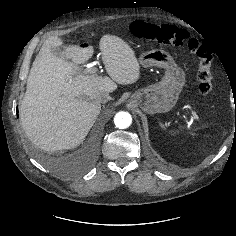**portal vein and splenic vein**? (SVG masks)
I'll use <instances>...</instances> for the list:
<instances>
[{
  "label": "portal vein and splenic vein",
  "mask_w": 236,
  "mask_h": 236,
  "mask_svg": "<svg viewBox=\"0 0 236 236\" xmlns=\"http://www.w3.org/2000/svg\"><path fill=\"white\" fill-rule=\"evenodd\" d=\"M93 66H94V63L89 64L87 67L90 68V69H88L87 71L90 72V73H96L97 69L96 68H92ZM191 113H192L194 119L199 120V117L196 114V112L191 111Z\"/></svg>",
  "instance_id": "18ae733b"
}]
</instances>
